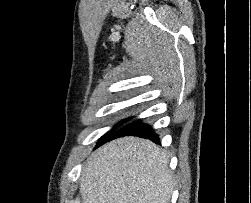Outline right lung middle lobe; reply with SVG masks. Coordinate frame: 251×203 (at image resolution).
I'll return each mask as SVG.
<instances>
[{"label": "right lung middle lobe", "mask_w": 251, "mask_h": 203, "mask_svg": "<svg viewBox=\"0 0 251 203\" xmlns=\"http://www.w3.org/2000/svg\"><path fill=\"white\" fill-rule=\"evenodd\" d=\"M128 120H130V118H129V119H126V120H123V121H121V122H119V123L117 124V126L123 124L124 122H126V121H128ZM113 133H114L113 130H111V131H109L108 133H106L104 136H102V137L99 139L98 143H97L98 146H100L101 144H103L104 142H106V141L109 139V137H110Z\"/></svg>", "instance_id": "right-lung-middle-lobe-1"}]
</instances>
